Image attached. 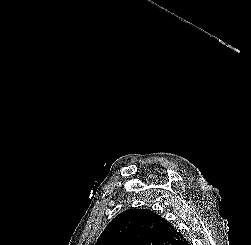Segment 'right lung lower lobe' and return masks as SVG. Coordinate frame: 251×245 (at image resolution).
<instances>
[{
  "label": "right lung lower lobe",
  "instance_id": "1",
  "mask_svg": "<svg viewBox=\"0 0 251 245\" xmlns=\"http://www.w3.org/2000/svg\"><path fill=\"white\" fill-rule=\"evenodd\" d=\"M175 245H189V242L183 237L181 240L176 242Z\"/></svg>",
  "mask_w": 251,
  "mask_h": 245
}]
</instances>
